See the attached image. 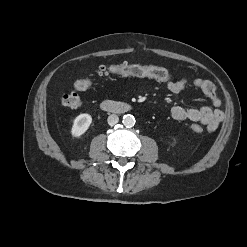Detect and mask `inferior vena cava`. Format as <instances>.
I'll return each mask as SVG.
<instances>
[{
    "label": "inferior vena cava",
    "mask_w": 247,
    "mask_h": 247,
    "mask_svg": "<svg viewBox=\"0 0 247 247\" xmlns=\"http://www.w3.org/2000/svg\"><path fill=\"white\" fill-rule=\"evenodd\" d=\"M119 122V117L116 114H112L108 117V124L113 126Z\"/></svg>",
    "instance_id": "obj_1"
}]
</instances>
